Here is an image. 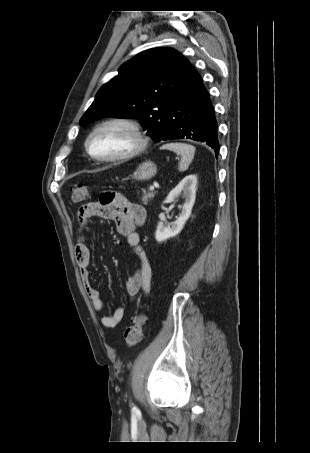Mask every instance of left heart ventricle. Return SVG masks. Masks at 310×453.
Returning <instances> with one entry per match:
<instances>
[{
    "label": "left heart ventricle",
    "mask_w": 310,
    "mask_h": 453,
    "mask_svg": "<svg viewBox=\"0 0 310 453\" xmlns=\"http://www.w3.org/2000/svg\"><path fill=\"white\" fill-rule=\"evenodd\" d=\"M135 146L131 132L123 126H110L93 136L91 150L99 156L109 157L125 153Z\"/></svg>",
    "instance_id": "left-heart-ventricle-1"
}]
</instances>
